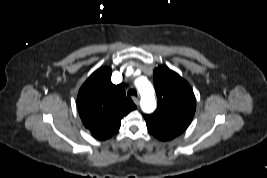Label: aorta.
I'll return each mask as SVG.
<instances>
[{"label":"aorta","mask_w":267,"mask_h":178,"mask_svg":"<svg viewBox=\"0 0 267 178\" xmlns=\"http://www.w3.org/2000/svg\"><path fill=\"white\" fill-rule=\"evenodd\" d=\"M136 86L141 95V108L144 112H152L156 108V100L154 96V89L150 82L140 78L136 82Z\"/></svg>","instance_id":"1"}]
</instances>
